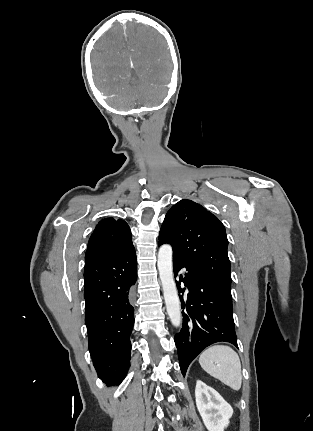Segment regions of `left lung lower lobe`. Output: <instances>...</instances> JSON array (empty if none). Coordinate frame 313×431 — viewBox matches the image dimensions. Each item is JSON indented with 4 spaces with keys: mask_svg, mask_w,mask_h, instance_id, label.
<instances>
[{
    "mask_svg": "<svg viewBox=\"0 0 313 431\" xmlns=\"http://www.w3.org/2000/svg\"><path fill=\"white\" fill-rule=\"evenodd\" d=\"M159 246L161 244H158ZM181 268H186L185 277L179 275L176 281L182 304L183 325L175 336L179 366L185 376L189 364L209 345L226 341L237 347L234 328L231 287L203 277L191 270L185 263L173 257L175 277ZM188 287L189 293L184 296Z\"/></svg>",
    "mask_w": 313,
    "mask_h": 431,
    "instance_id": "left-lung-lower-lobe-1",
    "label": "left lung lower lobe"
}]
</instances>
